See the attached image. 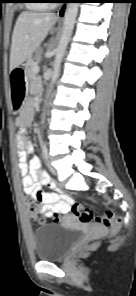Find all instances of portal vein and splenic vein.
I'll use <instances>...</instances> for the list:
<instances>
[{
	"mask_svg": "<svg viewBox=\"0 0 136 296\" xmlns=\"http://www.w3.org/2000/svg\"><path fill=\"white\" fill-rule=\"evenodd\" d=\"M34 72L35 73H38L39 72V67L37 65L34 67Z\"/></svg>",
	"mask_w": 136,
	"mask_h": 296,
	"instance_id": "portal-vein-and-splenic-vein-1",
	"label": "portal vein and splenic vein"
}]
</instances>
